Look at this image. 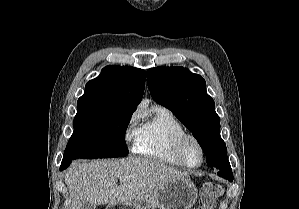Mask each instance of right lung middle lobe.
<instances>
[{
  "label": "right lung middle lobe",
  "instance_id": "dd1d6c3e",
  "mask_svg": "<svg viewBox=\"0 0 299 209\" xmlns=\"http://www.w3.org/2000/svg\"><path fill=\"white\" fill-rule=\"evenodd\" d=\"M133 112L109 109H77L74 132L63 160L113 158L128 154L125 132Z\"/></svg>",
  "mask_w": 299,
  "mask_h": 209
}]
</instances>
